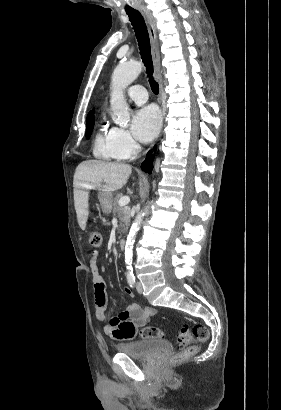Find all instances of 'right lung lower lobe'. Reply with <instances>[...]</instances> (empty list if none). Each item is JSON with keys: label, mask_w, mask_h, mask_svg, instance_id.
Segmentation results:
<instances>
[{"label": "right lung lower lobe", "mask_w": 281, "mask_h": 410, "mask_svg": "<svg viewBox=\"0 0 281 410\" xmlns=\"http://www.w3.org/2000/svg\"><path fill=\"white\" fill-rule=\"evenodd\" d=\"M153 155L151 154V151L147 154V157L145 159V161L142 163L141 168L143 171L151 173L152 169H153Z\"/></svg>", "instance_id": "right-lung-lower-lobe-1"}]
</instances>
